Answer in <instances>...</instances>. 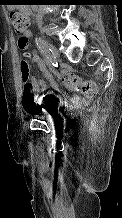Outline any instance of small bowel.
Returning <instances> with one entry per match:
<instances>
[{
  "mask_svg": "<svg viewBox=\"0 0 122 218\" xmlns=\"http://www.w3.org/2000/svg\"><path fill=\"white\" fill-rule=\"evenodd\" d=\"M32 32L30 30H26L23 32L22 36L18 40V45L21 48V46L26 49L30 46L31 40H32ZM30 59L32 62L36 63L39 68L45 72L47 78L50 81V86L57 90L58 89V84L57 82L52 78L51 74L47 71L46 65L43 60L40 59V57L36 53H32L30 55ZM72 71L68 66H64L63 70L61 72V77L65 80L67 77L72 76ZM31 81L33 83V92L38 93V92H43L47 90V85L44 80L38 79L34 76L31 77ZM93 83V82H92ZM94 84V83H93ZM95 85V84H94ZM96 87V85H95ZM35 100V98H34ZM60 99L58 96H56L53 92H46L43 97L40 99V105H35L33 111L36 114H42L43 112L48 111L49 107L55 103H58ZM36 104V102H35ZM23 106L25 110L29 111L26 106H25V98L23 99Z\"/></svg>",
  "mask_w": 122,
  "mask_h": 218,
  "instance_id": "obj_1",
  "label": "small bowel"
}]
</instances>
